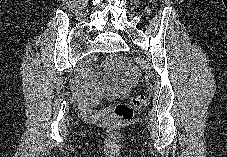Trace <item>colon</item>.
Instances as JSON below:
<instances>
[{
  "label": "colon",
  "instance_id": "1",
  "mask_svg": "<svg viewBox=\"0 0 227 157\" xmlns=\"http://www.w3.org/2000/svg\"><path fill=\"white\" fill-rule=\"evenodd\" d=\"M151 4H155L156 0H149ZM145 97L143 95H137L132 97L131 105L117 104L113 113L104 117V122L108 124H118L122 121L130 120L133 117V108L141 107L145 104ZM97 104V103H96Z\"/></svg>",
  "mask_w": 227,
  "mask_h": 157
}]
</instances>
